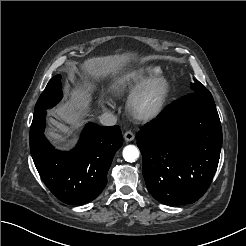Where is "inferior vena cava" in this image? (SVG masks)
<instances>
[{"mask_svg": "<svg viewBox=\"0 0 246 246\" xmlns=\"http://www.w3.org/2000/svg\"><path fill=\"white\" fill-rule=\"evenodd\" d=\"M99 121L104 126H113L116 124L117 119L115 115L106 112L100 116Z\"/></svg>", "mask_w": 246, "mask_h": 246, "instance_id": "1", "label": "inferior vena cava"}]
</instances>
